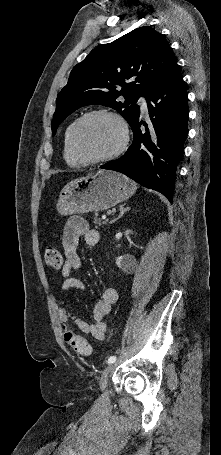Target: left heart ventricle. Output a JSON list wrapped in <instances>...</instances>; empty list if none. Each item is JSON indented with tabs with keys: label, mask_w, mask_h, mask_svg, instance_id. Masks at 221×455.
I'll return each mask as SVG.
<instances>
[{
	"label": "left heart ventricle",
	"mask_w": 221,
	"mask_h": 455,
	"mask_svg": "<svg viewBox=\"0 0 221 455\" xmlns=\"http://www.w3.org/2000/svg\"><path fill=\"white\" fill-rule=\"evenodd\" d=\"M122 135L118 123L108 116H96L84 121L78 130L80 151L88 158H97L115 150Z\"/></svg>",
	"instance_id": "b2bd125f"
}]
</instances>
